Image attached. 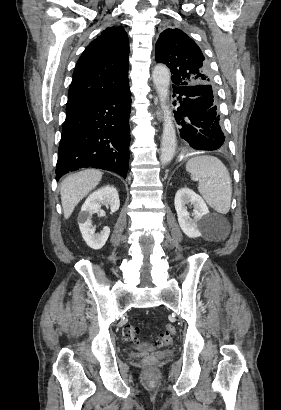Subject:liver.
<instances>
[{
	"label": "liver",
	"instance_id": "6515ba94",
	"mask_svg": "<svg viewBox=\"0 0 281 410\" xmlns=\"http://www.w3.org/2000/svg\"><path fill=\"white\" fill-rule=\"evenodd\" d=\"M103 173L95 169H87L72 174L64 179L60 188L64 218L68 219L75 206L94 189L102 179Z\"/></svg>",
	"mask_w": 281,
	"mask_h": 410
}]
</instances>
